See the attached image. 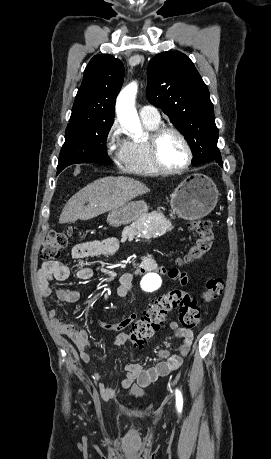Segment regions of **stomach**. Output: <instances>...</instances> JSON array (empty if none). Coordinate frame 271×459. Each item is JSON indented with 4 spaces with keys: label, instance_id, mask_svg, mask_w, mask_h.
I'll use <instances>...</instances> for the list:
<instances>
[{
    "label": "stomach",
    "instance_id": "0dacf381",
    "mask_svg": "<svg viewBox=\"0 0 271 459\" xmlns=\"http://www.w3.org/2000/svg\"><path fill=\"white\" fill-rule=\"evenodd\" d=\"M218 196V190L211 178L204 174H193V176H187L175 188L170 206L173 214H177L183 220H199L214 210ZM145 212H147V206L144 202H130L109 214L107 222L131 224L139 220Z\"/></svg>",
    "mask_w": 271,
    "mask_h": 459
}]
</instances>
